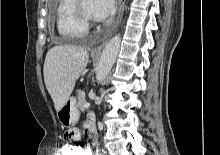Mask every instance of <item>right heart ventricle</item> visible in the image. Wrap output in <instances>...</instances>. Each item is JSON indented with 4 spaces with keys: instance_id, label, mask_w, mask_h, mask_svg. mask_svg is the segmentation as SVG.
<instances>
[{
    "instance_id": "e07e8e85",
    "label": "right heart ventricle",
    "mask_w": 220,
    "mask_h": 155,
    "mask_svg": "<svg viewBox=\"0 0 220 155\" xmlns=\"http://www.w3.org/2000/svg\"><path fill=\"white\" fill-rule=\"evenodd\" d=\"M75 0H59L56 8V27L66 39H78L87 34V26L78 21L74 13Z\"/></svg>"
}]
</instances>
